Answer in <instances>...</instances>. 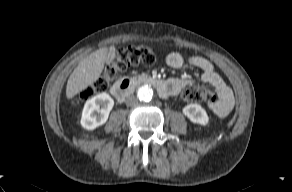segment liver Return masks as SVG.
Returning <instances> with one entry per match:
<instances>
[{"mask_svg": "<svg viewBox=\"0 0 292 192\" xmlns=\"http://www.w3.org/2000/svg\"><path fill=\"white\" fill-rule=\"evenodd\" d=\"M107 53L108 48H100L80 61L67 81L66 97L68 99L98 80L103 71Z\"/></svg>", "mask_w": 292, "mask_h": 192, "instance_id": "1", "label": "liver"}]
</instances>
